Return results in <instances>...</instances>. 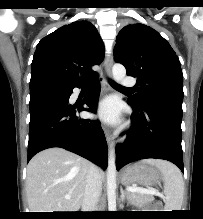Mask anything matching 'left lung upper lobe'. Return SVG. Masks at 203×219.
<instances>
[{
    "instance_id": "1",
    "label": "left lung upper lobe",
    "mask_w": 203,
    "mask_h": 219,
    "mask_svg": "<svg viewBox=\"0 0 203 219\" xmlns=\"http://www.w3.org/2000/svg\"><path fill=\"white\" fill-rule=\"evenodd\" d=\"M114 59L140 86L129 98L139 106L152 98L183 99L180 61L170 44L157 31L141 23L124 27L116 39Z\"/></svg>"
}]
</instances>
